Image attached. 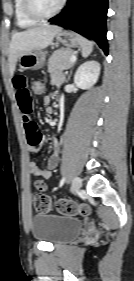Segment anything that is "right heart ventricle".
Instances as JSON below:
<instances>
[{"instance_id": "right-heart-ventricle-1", "label": "right heart ventricle", "mask_w": 134, "mask_h": 281, "mask_svg": "<svg viewBox=\"0 0 134 281\" xmlns=\"http://www.w3.org/2000/svg\"><path fill=\"white\" fill-rule=\"evenodd\" d=\"M14 15L16 24L20 28H30L37 24V20L29 17L23 6V0H14Z\"/></svg>"}]
</instances>
